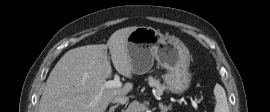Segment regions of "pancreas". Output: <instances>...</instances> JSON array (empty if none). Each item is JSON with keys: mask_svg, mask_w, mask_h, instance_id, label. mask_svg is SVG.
Returning <instances> with one entry per match:
<instances>
[{"mask_svg": "<svg viewBox=\"0 0 270 112\" xmlns=\"http://www.w3.org/2000/svg\"><path fill=\"white\" fill-rule=\"evenodd\" d=\"M148 84L151 87H155L156 92L160 95L163 94V92L166 90L165 85H162L158 79L151 76L148 78Z\"/></svg>", "mask_w": 270, "mask_h": 112, "instance_id": "pancreas-1", "label": "pancreas"}]
</instances>
